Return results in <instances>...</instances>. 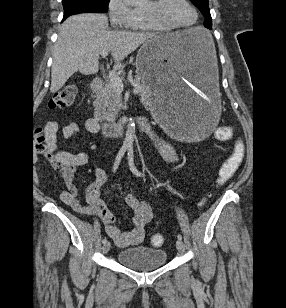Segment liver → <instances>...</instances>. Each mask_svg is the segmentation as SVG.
Here are the masks:
<instances>
[{
	"label": "liver",
	"mask_w": 286,
	"mask_h": 308,
	"mask_svg": "<svg viewBox=\"0 0 286 308\" xmlns=\"http://www.w3.org/2000/svg\"><path fill=\"white\" fill-rule=\"evenodd\" d=\"M159 36H167L172 41H179L184 37L182 32L161 35L110 31L108 19L103 14H77L68 17L60 27L54 47L50 92L55 93L61 89L77 71L84 75L96 74L99 70L100 52H111L115 67L121 68L124 66V59L141 44Z\"/></svg>",
	"instance_id": "6515ba94"
}]
</instances>
